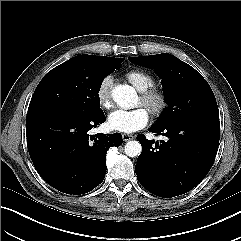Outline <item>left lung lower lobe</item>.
<instances>
[{"label": "left lung lower lobe", "mask_w": 241, "mask_h": 241, "mask_svg": "<svg viewBox=\"0 0 241 241\" xmlns=\"http://www.w3.org/2000/svg\"><path fill=\"white\" fill-rule=\"evenodd\" d=\"M150 132L167 137L156 142L138 135L142 152L135 171L138 181L160 197L182 195L197 186L212 167L218 150V120L187 119L166 126L153 125Z\"/></svg>", "instance_id": "1"}]
</instances>
